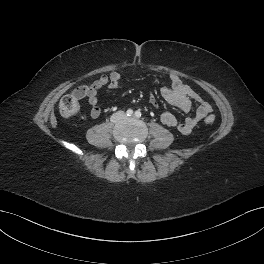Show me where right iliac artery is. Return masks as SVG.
Wrapping results in <instances>:
<instances>
[{
  "instance_id": "obj_1",
  "label": "right iliac artery",
  "mask_w": 264,
  "mask_h": 264,
  "mask_svg": "<svg viewBox=\"0 0 264 264\" xmlns=\"http://www.w3.org/2000/svg\"><path fill=\"white\" fill-rule=\"evenodd\" d=\"M126 115L127 116H132L133 115V110L128 109L127 112H126Z\"/></svg>"
}]
</instances>
